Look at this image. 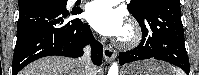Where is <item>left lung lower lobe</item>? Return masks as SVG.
Instances as JSON below:
<instances>
[{"instance_id": "obj_1", "label": "left lung lower lobe", "mask_w": 199, "mask_h": 75, "mask_svg": "<svg viewBox=\"0 0 199 75\" xmlns=\"http://www.w3.org/2000/svg\"><path fill=\"white\" fill-rule=\"evenodd\" d=\"M134 17L142 29V41L135 49L119 54L120 65L143 59H158L176 65L189 74L180 1L159 0L142 17Z\"/></svg>"}]
</instances>
